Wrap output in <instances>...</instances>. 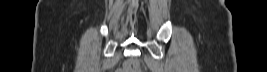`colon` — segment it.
Listing matches in <instances>:
<instances>
[{
    "label": "colon",
    "instance_id": "obj_1",
    "mask_svg": "<svg viewBox=\"0 0 267 72\" xmlns=\"http://www.w3.org/2000/svg\"><path fill=\"white\" fill-rule=\"evenodd\" d=\"M122 71L123 72H139L140 69L135 62H127Z\"/></svg>",
    "mask_w": 267,
    "mask_h": 72
}]
</instances>
